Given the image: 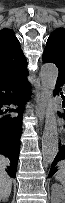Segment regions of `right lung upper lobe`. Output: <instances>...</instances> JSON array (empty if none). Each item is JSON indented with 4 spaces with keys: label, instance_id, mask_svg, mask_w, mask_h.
I'll use <instances>...</instances> for the list:
<instances>
[{
    "label": "right lung upper lobe",
    "instance_id": "1",
    "mask_svg": "<svg viewBox=\"0 0 65 203\" xmlns=\"http://www.w3.org/2000/svg\"><path fill=\"white\" fill-rule=\"evenodd\" d=\"M19 40L10 29L0 30V82L28 74Z\"/></svg>",
    "mask_w": 65,
    "mask_h": 203
}]
</instances>
